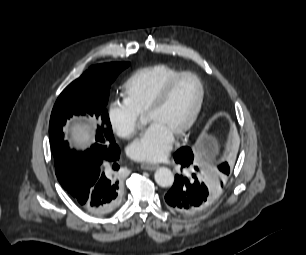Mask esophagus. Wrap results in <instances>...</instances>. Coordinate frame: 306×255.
Segmentation results:
<instances>
[{"label":"esophagus","mask_w":306,"mask_h":255,"mask_svg":"<svg viewBox=\"0 0 306 255\" xmlns=\"http://www.w3.org/2000/svg\"><path fill=\"white\" fill-rule=\"evenodd\" d=\"M159 167V165H157V164H153V163H142L141 164V168L143 169V170H149V171H152V170H155V169H157Z\"/></svg>","instance_id":"1"}]
</instances>
